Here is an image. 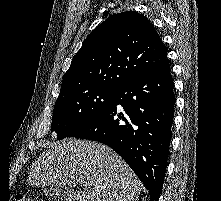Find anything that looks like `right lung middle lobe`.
<instances>
[{"label": "right lung middle lobe", "mask_w": 221, "mask_h": 201, "mask_svg": "<svg viewBox=\"0 0 221 201\" xmlns=\"http://www.w3.org/2000/svg\"><path fill=\"white\" fill-rule=\"evenodd\" d=\"M115 90L92 88L67 94L57 99L51 131L63 139L103 111L112 101Z\"/></svg>", "instance_id": "right-lung-middle-lobe-1"}]
</instances>
